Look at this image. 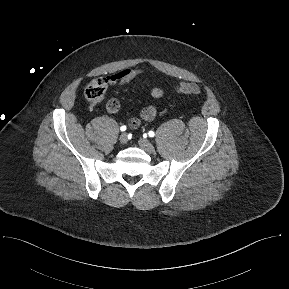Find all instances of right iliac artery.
Returning <instances> with one entry per match:
<instances>
[{"label":"right iliac artery","mask_w":289,"mask_h":289,"mask_svg":"<svg viewBox=\"0 0 289 289\" xmlns=\"http://www.w3.org/2000/svg\"><path fill=\"white\" fill-rule=\"evenodd\" d=\"M127 129V127L125 125L121 126L120 130L121 131H125Z\"/></svg>","instance_id":"1"}]
</instances>
